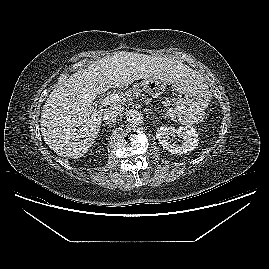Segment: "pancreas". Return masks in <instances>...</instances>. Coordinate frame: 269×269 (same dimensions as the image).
Masks as SVG:
<instances>
[{
  "instance_id": "cf45deb5",
  "label": "pancreas",
  "mask_w": 269,
  "mask_h": 269,
  "mask_svg": "<svg viewBox=\"0 0 269 269\" xmlns=\"http://www.w3.org/2000/svg\"><path fill=\"white\" fill-rule=\"evenodd\" d=\"M127 93L136 98H139L142 95L141 90L137 86H134L133 88L128 89ZM167 114L172 118L180 119V117H178L174 111H168ZM183 122L185 123L186 121H183Z\"/></svg>"
}]
</instances>
